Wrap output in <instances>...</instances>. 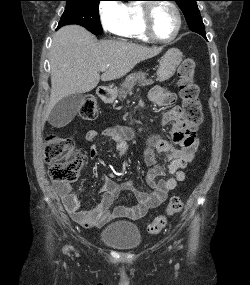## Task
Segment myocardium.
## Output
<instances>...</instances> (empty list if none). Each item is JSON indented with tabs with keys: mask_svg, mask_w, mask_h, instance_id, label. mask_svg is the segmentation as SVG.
Wrapping results in <instances>:
<instances>
[{
	"mask_svg": "<svg viewBox=\"0 0 250 285\" xmlns=\"http://www.w3.org/2000/svg\"><path fill=\"white\" fill-rule=\"evenodd\" d=\"M158 4L168 5L175 13L177 17V27L175 32L169 38L158 37L152 25L153 11ZM183 25L182 14L178 6L171 0H162L161 2H145L142 4V26L144 34L152 41L158 43H170L174 41L179 35Z\"/></svg>",
	"mask_w": 250,
	"mask_h": 285,
	"instance_id": "myocardium-1",
	"label": "myocardium"
}]
</instances>
